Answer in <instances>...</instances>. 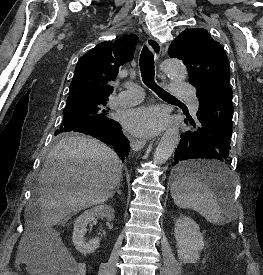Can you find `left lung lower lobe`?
<instances>
[{
  "mask_svg": "<svg viewBox=\"0 0 263 275\" xmlns=\"http://www.w3.org/2000/svg\"><path fill=\"white\" fill-rule=\"evenodd\" d=\"M196 96L200 102L197 112L199 125L196 130L181 134L172 165H181L192 159H215L230 165L232 89L227 85H218L201 92L197 91ZM189 123L196 127L194 121L189 120ZM175 177L193 178L213 185L221 184L224 179L223 173L219 170L201 168L191 162L179 166L175 170Z\"/></svg>",
  "mask_w": 263,
  "mask_h": 275,
  "instance_id": "1",
  "label": "left lung lower lobe"
}]
</instances>
